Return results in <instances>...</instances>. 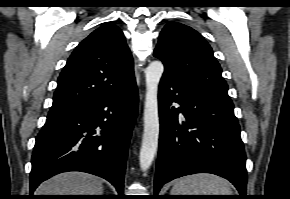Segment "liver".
<instances>
[{
    "label": "liver",
    "instance_id": "6515ba94",
    "mask_svg": "<svg viewBox=\"0 0 290 199\" xmlns=\"http://www.w3.org/2000/svg\"><path fill=\"white\" fill-rule=\"evenodd\" d=\"M37 195H102V180L91 174L67 172L43 182Z\"/></svg>",
    "mask_w": 290,
    "mask_h": 199
}]
</instances>
